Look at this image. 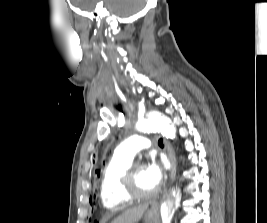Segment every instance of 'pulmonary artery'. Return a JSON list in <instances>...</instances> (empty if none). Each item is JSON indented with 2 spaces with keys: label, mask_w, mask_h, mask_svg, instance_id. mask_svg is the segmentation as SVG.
<instances>
[{
  "label": "pulmonary artery",
  "mask_w": 267,
  "mask_h": 223,
  "mask_svg": "<svg viewBox=\"0 0 267 223\" xmlns=\"http://www.w3.org/2000/svg\"><path fill=\"white\" fill-rule=\"evenodd\" d=\"M151 145V142L147 135H135L126 140H124L120 145L114 150V154L119 158L132 160L134 156Z\"/></svg>",
  "instance_id": "obj_1"
}]
</instances>
